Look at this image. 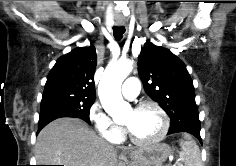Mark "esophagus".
Returning a JSON list of instances; mask_svg holds the SVG:
<instances>
[{
	"label": "esophagus",
	"instance_id": "34e87169",
	"mask_svg": "<svg viewBox=\"0 0 236 166\" xmlns=\"http://www.w3.org/2000/svg\"><path fill=\"white\" fill-rule=\"evenodd\" d=\"M118 26H122L123 25V22H117L116 23Z\"/></svg>",
	"mask_w": 236,
	"mask_h": 166
}]
</instances>
